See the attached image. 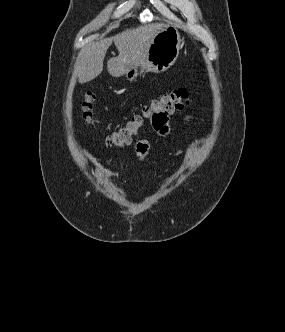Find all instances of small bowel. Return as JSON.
<instances>
[{
	"label": "small bowel",
	"instance_id": "small-bowel-1",
	"mask_svg": "<svg viewBox=\"0 0 285 332\" xmlns=\"http://www.w3.org/2000/svg\"><path fill=\"white\" fill-rule=\"evenodd\" d=\"M149 126H154V133L165 135L169 133V122H171L170 111H152L148 115ZM149 149V143L142 139L136 145V151L139 157H145Z\"/></svg>",
	"mask_w": 285,
	"mask_h": 332
}]
</instances>
